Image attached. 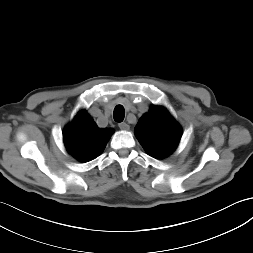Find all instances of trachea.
I'll return each instance as SVG.
<instances>
[{
    "label": "trachea",
    "mask_w": 253,
    "mask_h": 253,
    "mask_svg": "<svg viewBox=\"0 0 253 253\" xmlns=\"http://www.w3.org/2000/svg\"><path fill=\"white\" fill-rule=\"evenodd\" d=\"M125 110L122 105H117L113 112V117L116 122H122L124 120Z\"/></svg>",
    "instance_id": "trachea-1"
}]
</instances>
